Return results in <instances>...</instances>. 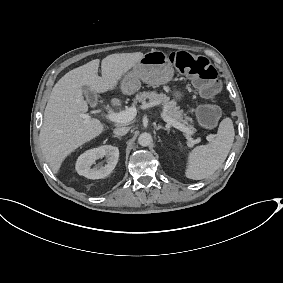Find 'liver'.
I'll list each match as a JSON object with an SVG mask.
<instances>
[{"label": "liver", "instance_id": "1", "mask_svg": "<svg viewBox=\"0 0 283 283\" xmlns=\"http://www.w3.org/2000/svg\"><path fill=\"white\" fill-rule=\"evenodd\" d=\"M143 56V52L106 56L101 62L102 77L98 76L100 59H94L69 71L54 85L39 136L41 151L54 174H59L68 156L105 130L99 120L84 118L88 104L83 87L97 94L117 91L122 77Z\"/></svg>", "mask_w": 283, "mask_h": 283}]
</instances>
